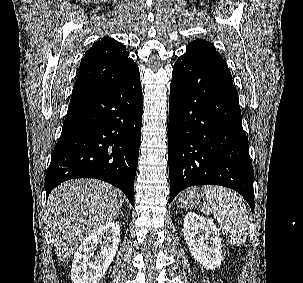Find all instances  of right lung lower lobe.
<instances>
[{
    "instance_id": "1",
    "label": "right lung lower lobe",
    "mask_w": 303,
    "mask_h": 283,
    "mask_svg": "<svg viewBox=\"0 0 303 283\" xmlns=\"http://www.w3.org/2000/svg\"><path fill=\"white\" fill-rule=\"evenodd\" d=\"M139 74L113 89L70 101L45 179L47 195L73 178L115 185L134 206L142 124Z\"/></svg>"
}]
</instances>
